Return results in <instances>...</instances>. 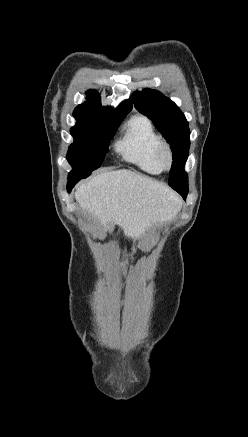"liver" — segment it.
I'll return each instance as SVG.
<instances>
[{"label": "liver", "mask_w": 248, "mask_h": 437, "mask_svg": "<svg viewBox=\"0 0 248 437\" xmlns=\"http://www.w3.org/2000/svg\"><path fill=\"white\" fill-rule=\"evenodd\" d=\"M75 198L106 230L116 224L132 238L171 220L180 209L178 196L166 184L127 169L97 174L77 187Z\"/></svg>", "instance_id": "6515ba94"}]
</instances>
